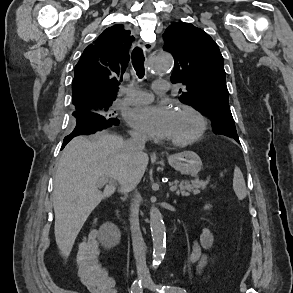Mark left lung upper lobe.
I'll use <instances>...</instances> for the list:
<instances>
[{"label": "left lung upper lobe", "instance_id": "1", "mask_svg": "<svg viewBox=\"0 0 293 293\" xmlns=\"http://www.w3.org/2000/svg\"><path fill=\"white\" fill-rule=\"evenodd\" d=\"M163 38V49L172 53L175 62L171 82L184 86L180 101L203 111L214 133L238 137L218 45L202 29L185 22L171 24Z\"/></svg>", "mask_w": 293, "mask_h": 293}]
</instances>
